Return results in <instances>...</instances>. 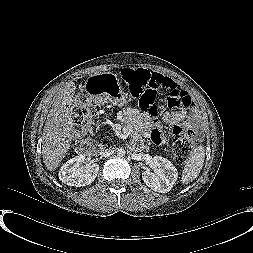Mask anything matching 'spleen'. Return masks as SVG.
Here are the masks:
<instances>
[{
	"mask_svg": "<svg viewBox=\"0 0 253 253\" xmlns=\"http://www.w3.org/2000/svg\"><path fill=\"white\" fill-rule=\"evenodd\" d=\"M204 159L205 149L203 146H198L191 153V156L185 164L184 170L182 172L183 183L187 184L199 175L203 167Z\"/></svg>",
	"mask_w": 253,
	"mask_h": 253,
	"instance_id": "spleen-1",
	"label": "spleen"
}]
</instances>
